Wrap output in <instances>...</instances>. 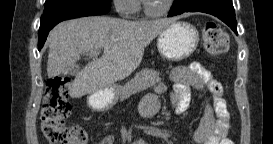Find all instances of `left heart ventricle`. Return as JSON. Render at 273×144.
<instances>
[{
    "mask_svg": "<svg viewBox=\"0 0 273 144\" xmlns=\"http://www.w3.org/2000/svg\"><path fill=\"white\" fill-rule=\"evenodd\" d=\"M167 0H146V4L154 10L161 8Z\"/></svg>",
    "mask_w": 273,
    "mask_h": 144,
    "instance_id": "obj_1",
    "label": "left heart ventricle"
}]
</instances>
